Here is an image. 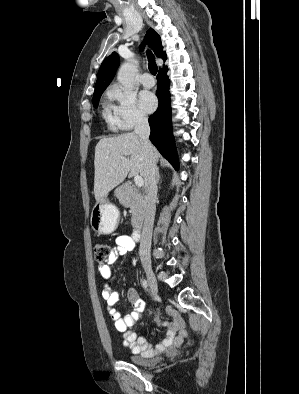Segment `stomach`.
Returning a JSON list of instances; mask_svg holds the SVG:
<instances>
[{
	"label": "stomach",
	"instance_id": "stomach-1",
	"mask_svg": "<svg viewBox=\"0 0 299 394\" xmlns=\"http://www.w3.org/2000/svg\"><path fill=\"white\" fill-rule=\"evenodd\" d=\"M119 211L115 205L103 199L96 203L91 211L90 223L94 231L110 234L118 226Z\"/></svg>",
	"mask_w": 299,
	"mask_h": 394
}]
</instances>
